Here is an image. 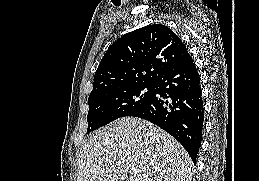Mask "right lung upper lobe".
<instances>
[{
	"instance_id": "right-lung-upper-lobe-1",
	"label": "right lung upper lobe",
	"mask_w": 259,
	"mask_h": 181,
	"mask_svg": "<svg viewBox=\"0 0 259 181\" xmlns=\"http://www.w3.org/2000/svg\"><path fill=\"white\" fill-rule=\"evenodd\" d=\"M188 50L167 26L148 25L123 35L103 56L89 96L114 88L153 83Z\"/></svg>"
}]
</instances>
